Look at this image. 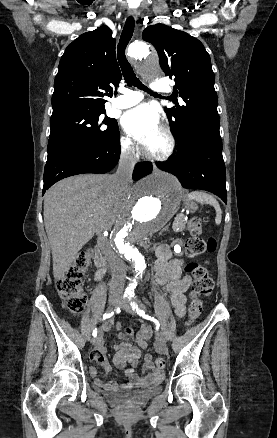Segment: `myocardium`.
Wrapping results in <instances>:
<instances>
[{
  "instance_id": "f54148a6",
  "label": "myocardium",
  "mask_w": 277,
  "mask_h": 438,
  "mask_svg": "<svg viewBox=\"0 0 277 438\" xmlns=\"http://www.w3.org/2000/svg\"><path fill=\"white\" fill-rule=\"evenodd\" d=\"M128 50V47L126 48ZM159 132H161L166 140H167V148L165 152L161 155H152L144 152L145 155L151 160V161H166L168 160L174 153L175 147H176V140L174 135L172 134L171 130L165 126L160 127Z\"/></svg>"
}]
</instances>
